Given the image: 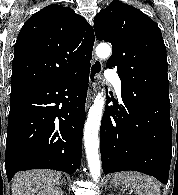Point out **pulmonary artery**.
I'll use <instances>...</instances> for the list:
<instances>
[{
  "mask_svg": "<svg viewBox=\"0 0 178 195\" xmlns=\"http://www.w3.org/2000/svg\"><path fill=\"white\" fill-rule=\"evenodd\" d=\"M107 80H108V82H110L111 84H113L115 86L117 94L120 97L121 80L119 79V77L115 73H113L111 70H109L107 73Z\"/></svg>",
  "mask_w": 178,
  "mask_h": 195,
  "instance_id": "obj_1",
  "label": "pulmonary artery"
}]
</instances>
